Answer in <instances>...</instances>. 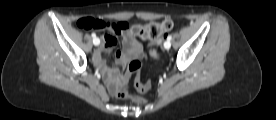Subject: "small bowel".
I'll use <instances>...</instances> for the list:
<instances>
[{"mask_svg":"<svg viewBox=\"0 0 276 120\" xmlns=\"http://www.w3.org/2000/svg\"><path fill=\"white\" fill-rule=\"evenodd\" d=\"M104 28L108 33L101 36L102 46L94 55V63L103 70L105 83L111 94H114L120 83L121 75L117 66L106 68L103 52L112 49L117 44V36H122L123 52L117 54L116 65L125 67L130 60L137 59L143 55V47L134 35L130 34L128 24L124 22H105Z\"/></svg>","mask_w":276,"mask_h":120,"instance_id":"small-bowel-1","label":"small bowel"}]
</instances>
